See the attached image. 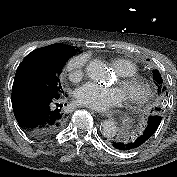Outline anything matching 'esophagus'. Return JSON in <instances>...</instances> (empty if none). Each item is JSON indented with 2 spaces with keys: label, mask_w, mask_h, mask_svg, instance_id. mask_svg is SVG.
<instances>
[{
  "label": "esophagus",
  "mask_w": 177,
  "mask_h": 177,
  "mask_svg": "<svg viewBox=\"0 0 177 177\" xmlns=\"http://www.w3.org/2000/svg\"><path fill=\"white\" fill-rule=\"evenodd\" d=\"M102 117H103L104 119H107V118L109 117V114H108L107 112H104V113L102 114Z\"/></svg>",
  "instance_id": "34e87169"
}]
</instances>
